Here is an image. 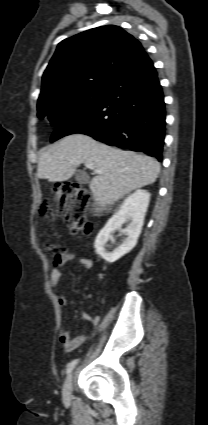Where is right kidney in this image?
Instances as JSON below:
<instances>
[{
  "instance_id": "ca27d5eb",
  "label": "right kidney",
  "mask_w": 208,
  "mask_h": 425,
  "mask_svg": "<svg viewBox=\"0 0 208 425\" xmlns=\"http://www.w3.org/2000/svg\"><path fill=\"white\" fill-rule=\"evenodd\" d=\"M149 201L150 194L146 190H137L124 200L120 210L108 220L97 235L94 244L97 254L107 262L113 263L135 247L142 230ZM126 222L128 223L127 238L114 251H108L106 243L111 234Z\"/></svg>"
}]
</instances>
